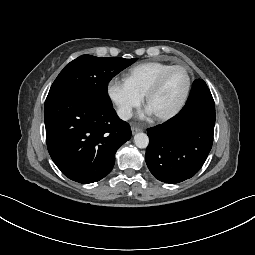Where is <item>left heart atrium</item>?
<instances>
[{
    "label": "left heart atrium",
    "instance_id": "1",
    "mask_svg": "<svg viewBox=\"0 0 255 255\" xmlns=\"http://www.w3.org/2000/svg\"><path fill=\"white\" fill-rule=\"evenodd\" d=\"M147 115H152V112L150 111L149 108H147V109L145 110V112L141 114L142 117H145V116H147Z\"/></svg>",
    "mask_w": 255,
    "mask_h": 255
}]
</instances>
